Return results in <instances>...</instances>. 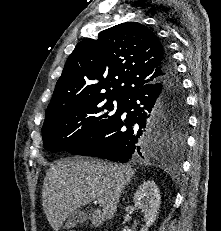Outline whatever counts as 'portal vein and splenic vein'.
<instances>
[{"instance_id": "18ae733b", "label": "portal vein and splenic vein", "mask_w": 221, "mask_h": 231, "mask_svg": "<svg viewBox=\"0 0 221 231\" xmlns=\"http://www.w3.org/2000/svg\"><path fill=\"white\" fill-rule=\"evenodd\" d=\"M95 202L98 203V204H102V203H103V200H102V199H96Z\"/></svg>"}]
</instances>
